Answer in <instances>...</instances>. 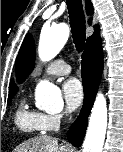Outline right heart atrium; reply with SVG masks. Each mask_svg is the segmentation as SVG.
Wrapping results in <instances>:
<instances>
[{
    "label": "right heart atrium",
    "instance_id": "d8ad5b80",
    "mask_svg": "<svg viewBox=\"0 0 123 152\" xmlns=\"http://www.w3.org/2000/svg\"><path fill=\"white\" fill-rule=\"evenodd\" d=\"M64 114H41V123L44 131H52L59 127Z\"/></svg>",
    "mask_w": 123,
    "mask_h": 152
}]
</instances>
